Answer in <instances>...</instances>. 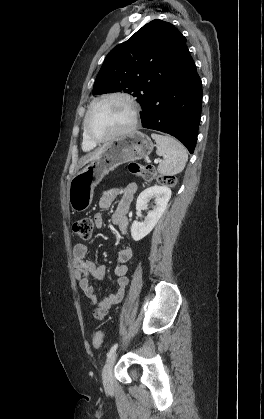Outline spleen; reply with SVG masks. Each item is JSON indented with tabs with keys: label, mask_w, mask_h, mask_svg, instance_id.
<instances>
[{
	"label": "spleen",
	"mask_w": 264,
	"mask_h": 419,
	"mask_svg": "<svg viewBox=\"0 0 264 419\" xmlns=\"http://www.w3.org/2000/svg\"><path fill=\"white\" fill-rule=\"evenodd\" d=\"M151 137L156 141L157 155L164 157V160L158 166V172L166 176L180 173L185 168L188 160L185 147L171 136L153 133Z\"/></svg>",
	"instance_id": "spleen-1"
}]
</instances>
